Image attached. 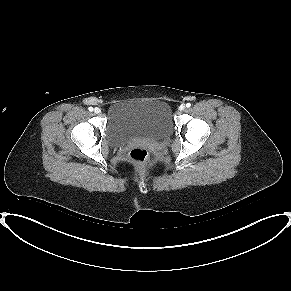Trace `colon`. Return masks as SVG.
<instances>
[{"mask_svg": "<svg viewBox=\"0 0 291 291\" xmlns=\"http://www.w3.org/2000/svg\"><path fill=\"white\" fill-rule=\"evenodd\" d=\"M149 158L148 150L143 146H138L132 149L128 154V161L133 166H142Z\"/></svg>", "mask_w": 291, "mask_h": 291, "instance_id": "1", "label": "colon"}]
</instances>
